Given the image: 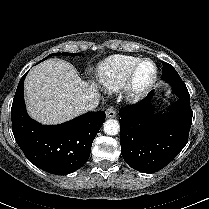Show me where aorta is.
Wrapping results in <instances>:
<instances>
[{
  "instance_id": "aorta-1",
  "label": "aorta",
  "mask_w": 209,
  "mask_h": 209,
  "mask_svg": "<svg viewBox=\"0 0 209 209\" xmlns=\"http://www.w3.org/2000/svg\"><path fill=\"white\" fill-rule=\"evenodd\" d=\"M103 127H104V132L107 135H111V136L117 135L120 131L119 122L115 119L106 120Z\"/></svg>"
}]
</instances>
